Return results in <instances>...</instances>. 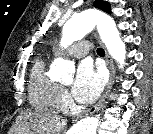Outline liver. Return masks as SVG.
Returning a JSON list of instances; mask_svg holds the SVG:
<instances>
[{
  "instance_id": "liver-1",
  "label": "liver",
  "mask_w": 153,
  "mask_h": 134,
  "mask_svg": "<svg viewBox=\"0 0 153 134\" xmlns=\"http://www.w3.org/2000/svg\"><path fill=\"white\" fill-rule=\"evenodd\" d=\"M20 118L24 121L17 128V134H50L58 132L64 126V121L60 123L58 116L46 112L26 111Z\"/></svg>"
}]
</instances>
